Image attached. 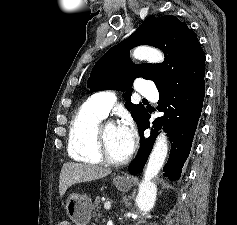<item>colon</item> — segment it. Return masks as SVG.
Returning a JSON list of instances; mask_svg holds the SVG:
<instances>
[{
  "instance_id": "1",
  "label": "colon",
  "mask_w": 237,
  "mask_h": 225,
  "mask_svg": "<svg viewBox=\"0 0 237 225\" xmlns=\"http://www.w3.org/2000/svg\"><path fill=\"white\" fill-rule=\"evenodd\" d=\"M57 225H70V223L66 219H61V220L58 221Z\"/></svg>"
}]
</instances>
